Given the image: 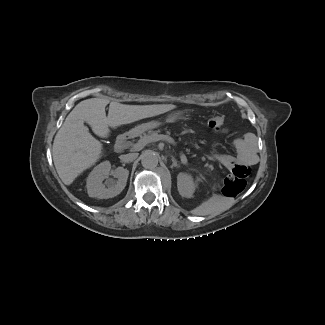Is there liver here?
I'll return each mask as SVG.
<instances>
[{
	"mask_svg": "<svg viewBox=\"0 0 325 325\" xmlns=\"http://www.w3.org/2000/svg\"><path fill=\"white\" fill-rule=\"evenodd\" d=\"M108 116L105 107L109 104ZM176 108L173 104L125 105L105 98L78 103L57 132L52 149L56 171L65 185L73 181L102 156L103 146L84 122L100 137H108L111 128L157 116Z\"/></svg>",
	"mask_w": 325,
	"mask_h": 325,
	"instance_id": "obj_1",
	"label": "liver"
}]
</instances>
